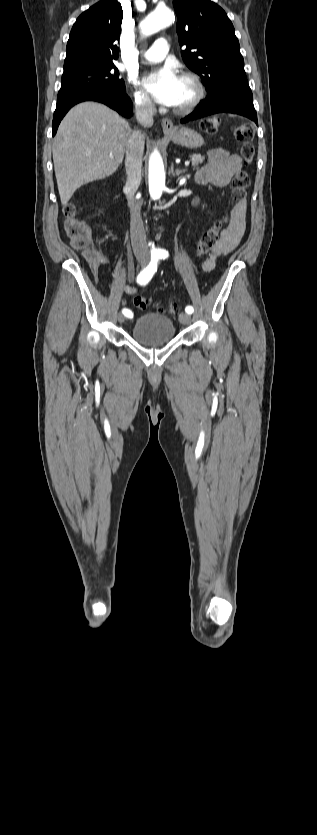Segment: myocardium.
<instances>
[{"label":"myocardium","mask_w":317,"mask_h":835,"mask_svg":"<svg viewBox=\"0 0 317 835\" xmlns=\"http://www.w3.org/2000/svg\"><path fill=\"white\" fill-rule=\"evenodd\" d=\"M180 78L188 82L193 89L191 99L184 105L175 106L173 109L175 113L183 115L192 112L201 103L205 97V87L199 76L192 72H184Z\"/></svg>","instance_id":"f54148a6"}]
</instances>
